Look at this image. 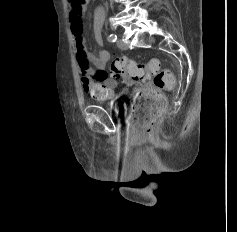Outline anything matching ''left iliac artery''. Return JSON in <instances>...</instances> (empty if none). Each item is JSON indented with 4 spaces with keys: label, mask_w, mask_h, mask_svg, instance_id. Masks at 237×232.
Here are the masks:
<instances>
[{
    "label": "left iliac artery",
    "mask_w": 237,
    "mask_h": 232,
    "mask_svg": "<svg viewBox=\"0 0 237 232\" xmlns=\"http://www.w3.org/2000/svg\"><path fill=\"white\" fill-rule=\"evenodd\" d=\"M117 40V36L115 34H109L107 37L108 42H115Z\"/></svg>",
    "instance_id": "1"
}]
</instances>
